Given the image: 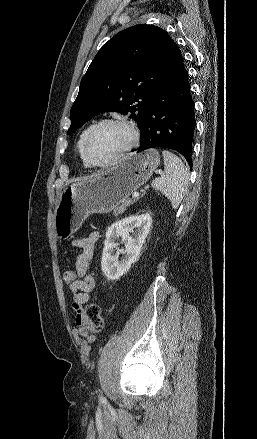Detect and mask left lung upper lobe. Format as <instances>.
Wrapping results in <instances>:
<instances>
[{"label":"left lung upper lobe","mask_w":257,"mask_h":439,"mask_svg":"<svg viewBox=\"0 0 257 439\" xmlns=\"http://www.w3.org/2000/svg\"><path fill=\"white\" fill-rule=\"evenodd\" d=\"M178 50L157 26L139 24L117 33L99 50L81 80L67 134L106 111L130 113L140 127Z\"/></svg>","instance_id":"1"}]
</instances>
